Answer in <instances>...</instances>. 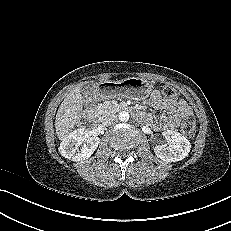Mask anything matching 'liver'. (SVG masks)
<instances>
[{
  "mask_svg": "<svg viewBox=\"0 0 231 231\" xmlns=\"http://www.w3.org/2000/svg\"><path fill=\"white\" fill-rule=\"evenodd\" d=\"M83 115V98L80 88L67 94L58 108L55 118L56 135L63 140L76 125L80 124Z\"/></svg>",
  "mask_w": 231,
  "mask_h": 231,
  "instance_id": "6515ba94",
  "label": "liver"
}]
</instances>
